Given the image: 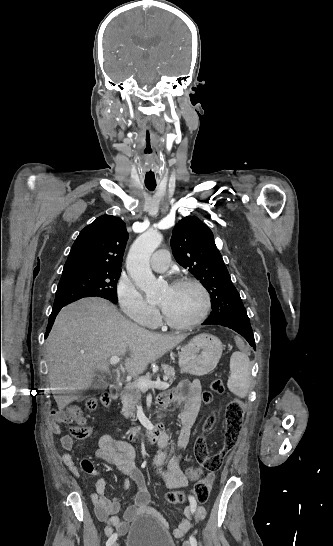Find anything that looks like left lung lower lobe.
I'll return each instance as SVG.
<instances>
[{
    "label": "left lung lower lobe",
    "instance_id": "1",
    "mask_svg": "<svg viewBox=\"0 0 333 546\" xmlns=\"http://www.w3.org/2000/svg\"><path fill=\"white\" fill-rule=\"evenodd\" d=\"M204 324H215V325H221L228 327L230 329H233L240 335H242L248 343L255 349V339L252 332V327L250 324V320L248 318L247 313L238 315L236 318H234L230 322H223L220 320H214V319H207Z\"/></svg>",
    "mask_w": 333,
    "mask_h": 546
}]
</instances>
